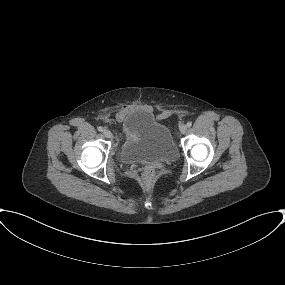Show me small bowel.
<instances>
[{"instance_id": "obj_1", "label": "small bowel", "mask_w": 285, "mask_h": 285, "mask_svg": "<svg viewBox=\"0 0 285 285\" xmlns=\"http://www.w3.org/2000/svg\"><path fill=\"white\" fill-rule=\"evenodd\" d=\"M134 110V106L133 105H124L116 114V118L118 121L122 122L124 121V119L130 114L132 113Z\"/></svg>"}]
</instances>
